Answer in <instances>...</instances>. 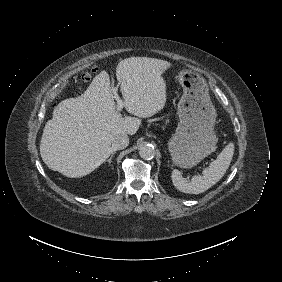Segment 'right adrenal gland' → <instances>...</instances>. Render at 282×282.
<instances>
[{"mask_svg":"<svg viewBox=\"0 0 282 282\" xmlns=\"http://www.w3.org/2000/svg\"><path fill=\"white\" fill-rule=\"evenodd\" d=\"M115 153H116V151L112 150L109 159L106 160L109 164H111L112 158H113V156H114Z\"/></svg>","mask_w":282,"mask_h":282,"instance_id":"obj_1","label":"right adrenal gland"}]
</instances>
